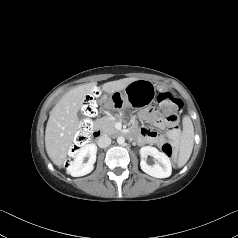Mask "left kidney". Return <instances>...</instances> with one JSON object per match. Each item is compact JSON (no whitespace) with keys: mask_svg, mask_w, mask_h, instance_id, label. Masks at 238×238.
<instances>
[{"mask_svg":"<svg viewBox=\"0 0 238 238\" xmlns=\"http://www.w3.org/2000/svg\"><path fill=\"white\" fill-rule=\"evenodd\" d=\"M140 166L141 169L148 175L156 178H167L172 173L171 161L169 157L158 151L155 147L144 146L140 149ZM148 156L154 157L157 162L154 165H148L146 158Z\"/></svg>","mask_w":238,"mask_h":238,"instance_id":"left-kidney-1","label":"left kidney"}]
</instances>
